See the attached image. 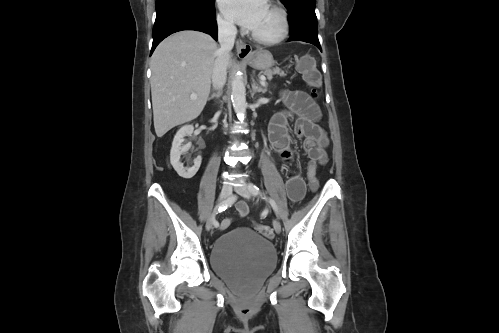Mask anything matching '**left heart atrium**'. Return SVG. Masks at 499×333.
<instances>
[{
	"label": "left heart atrium",
	"instance_id": "39dd6f15",
	"mask_svg": "<svg viewBox=\"0 0 499 333\" xmlns=\"http://www.w3.org/2000/svg\"><path fill=\"white\" fill-rule=\"evenodd\" d=\"M222 13L231 21L253 30L266 11L267 0H218Z\"/></svg>",
	"mask_w": 499,
	"mask_h": 333
}]
</instances>
